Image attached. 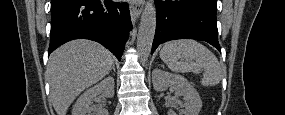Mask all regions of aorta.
<instances>
[{"mask_svg": "<svg viewBox=\"0 0 285 115\" xmlns=\"http://www.w3.org/2000/svg\"><path fill=\"white\" fill-rule=\"evenodd\" d=\"M156 29V9L152 2H147L141 15L137 37V50L142 62H146L151 52Z\"/></svg>", "mask_w": 285, "mask_h": 115, "instance_id": "762f6f07", "label": "aorta"}]
</instances>
